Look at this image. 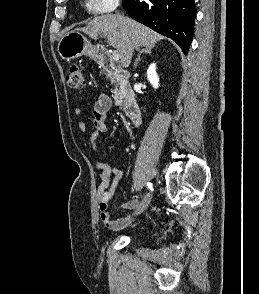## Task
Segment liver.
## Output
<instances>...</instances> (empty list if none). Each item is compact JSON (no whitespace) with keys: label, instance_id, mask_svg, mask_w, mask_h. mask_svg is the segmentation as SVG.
Segmentation results:
<instances>
[{"label":"liver","instance_id":"6515ba94","mask_svg":"<svg viewBox=\"0 0 259 294\" xmlns=\"http://www.w3.org/2000/svg\"><path fill=\"white\" fill-rule=\"evenodd\" d=\"M91 38L99 35L108 38L110 46L120 55V63L128 67L131 63L134 49L155 45L163 36L137 21L119 14H109L95 17L86 27L78 29Z\"/></svg>","mask_w":259,"mask_h":294}]
</instances>
